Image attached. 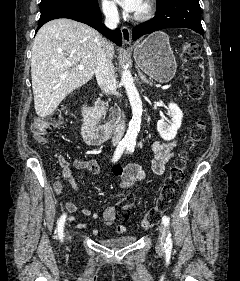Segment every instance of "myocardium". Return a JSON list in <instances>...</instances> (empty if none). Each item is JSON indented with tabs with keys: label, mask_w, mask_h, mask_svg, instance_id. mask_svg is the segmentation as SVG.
I'll return each mask as SVG.
<instances>
[{
	"label": "myocardium",
	"mask_w": 240,
	"mask_h": 281,
	"mask_svg": "<svg viewBox=\"0 0 240 281\" xmlns=\"http://www.w3.org/2000/svg\"><path fill=\"white\" fill-rule=\"evenodd\" d=\"M154 13V2L153 0H146L144 9L141 12L135 14L134 18L138 21L148 20Z\"/></svg>",
	"instance_id": "1"
}]
</instances>
